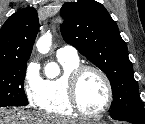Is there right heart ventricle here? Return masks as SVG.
<instances>
[{"mask_svg":"<svg viewBox=\"0 0 145 124\" xmlns=\"http://www.w3.org/2000/svg\"><path fill=\"white\" fill-rule=\"evenodd\" d=\"M58 61L63 68V73L58 77L43 81L40 98L36 105L55 117H74L77 113L69 102L67 78L69 73L80 65L79 59L58 58Z\"/></svg>","mask_w":145,"mask_h":124,"instance_id":"right-heart-ventricle-1","label":"right heart ventricle"}]
</instances>
